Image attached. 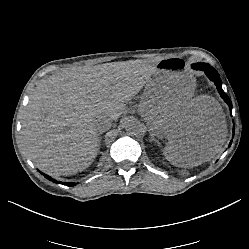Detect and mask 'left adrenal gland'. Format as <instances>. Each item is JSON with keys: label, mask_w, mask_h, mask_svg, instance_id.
Listing matches in <instances>:
<instances>
[{"label": "left adrenal gland", "mask_w": 249, "mask_h": 249, "mask_svg": "<svg viewBox=\"0 0 249 249\" xmlns=\"http://www.w3.org/2000/svg\"><path fill=\"white\" fill-rule=\"evenodd\" d=\"M150 141H155L158 144V140H156L155 138L151 137ZM159 145V144H158Z\"/></svg>", "instance_id": "left-adrenal-gland-1"}]
</instances>
